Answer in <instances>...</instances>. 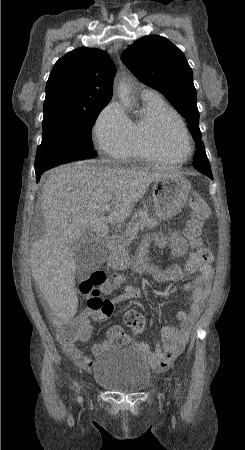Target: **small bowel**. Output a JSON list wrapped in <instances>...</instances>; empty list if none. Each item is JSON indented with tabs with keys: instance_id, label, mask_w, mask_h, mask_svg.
I'll return each instance as SVG.
<instances>
[{
	"instance_id": "obj_1",
	"label": "small bowel",
	"mask_w": 245,
	"mask_h": 450,
	"mask_svg": "<svg viewBox=\"0 0 245 450\" xmlns=\"http://www.w3.org/2000/svg\"><path fill=\"white\" fill-rule=\"evenodd\" d=\"M146 241L150 245L165 247L167 244L171 246L172 256L179 259L187 254L188 246L184 238L179 232H173L171 235H165L160 232L150 234ZM213 259L210 263L203 262L198 252H190L188 259L181 267L177 262L172 263L164 269L151 268L148 269L149 274L159 283H167L182 278L184 271L195 274L192 282L184 285V290L190 294V307L188 311H180L177 318L180 321L179 328L165 327L162 329V342L158 343L154 350L149 344L139 339H132L130 346L137 349L144 355L149 366L156 372H164L170 368L174 361L181 355L185 344L187 343L194 323L203 310L205 300L208 296L210 284L214 277L212 267ZM82 285V283H81ZM121 288L120 293L106 302V309L93 310L90 306L76 317H72L73 321H83L88 326L87 335L81 339L86 341L90 336V321L102 323L111 315V308L114 303L123 302L130 299L140 298L144 296L145 291L132 285L122 286V281L118 282L112 291ZM57 339L62 344L67 355L74 360L80 367L89 370L92 366V359L85 357L81 350L76 346V341L65 342L58 333ZM116 345L111 341L109 334L106 339L96 341L92 344L91 351L94 355L102 354Z\"/></svg>"
}]
</instances>
